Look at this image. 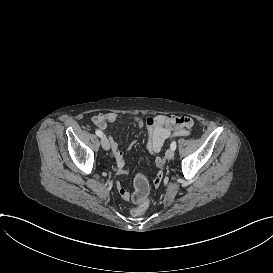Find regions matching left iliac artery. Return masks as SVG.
<instances>
[{"instance_id": "obj_1", "label": "left iliac artery", "mask_w": 273, "mask_h": 273, "mask_svg": "<svg viewBox=\"0 0 273 273\" xmlns=\"http://www.w3.org/2000/svg\"><path fill=\"white\" fill-rule=\"evenodd\" d=\"M170 147H171V149L175 150L176 149V141H172Z\"/></svg>"}]
</instances>
